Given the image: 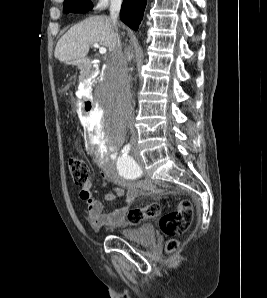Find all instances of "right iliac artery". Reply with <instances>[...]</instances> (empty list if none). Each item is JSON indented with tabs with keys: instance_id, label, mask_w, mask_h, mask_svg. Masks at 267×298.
<instances>
[{
	"instance_id": "right-iliac-artery-1",
	"label": "right iliac artery",
	"mask_w": 267,
	"mask_h": 298,
	"mask_svg": "<svg viewBox=\"0 0 267 298\" xmlns=\"http://www.w3.org/2000/svg\"><path fill=\"white\" fill-rule=\"evenodd\" d=\"M130 144H127V145H125L124 147H123V149H122V157L120 158V161H131L132 160V158H130V156L128 155V153H129V151H130Z\"/></svg>"
}]
</instances>
